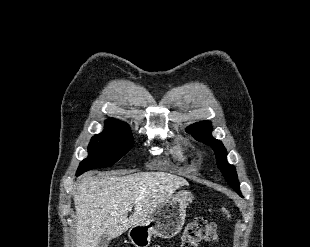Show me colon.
<instances>
[{
    "label": "colon",
    "mask_w": 310,
    "mask_h": 247,
    "mask_svg": "<svg viewBox=\"0 0 310 247\" xmlns=\"http://www.w3.org/2000/svg\"><path fill=\"white\" fill-rule=\"evenodd\" d=\"M217 227L203 218H195L184 228L181 247H198L201 241H216Z\"/></svg>",
    "instance_id": "5ec220e1"
}]
</instances>
